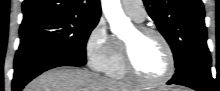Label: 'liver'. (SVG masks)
I'll return each mask as SVG.
<instances>
[{
	"instance_id": "6515ba94",
	"label": "liver",
	"mask_w": 220,
	"mask_h": 91,
	"mask_svg": "<svg viewBox=\"0 0 220 91\" xmlns=\"http://www.w3.org/2000/svg\"><path fill=\"white\" fill-rule=\"evenodd\" d=\"M24 91H137L129 84L104 78L86 69L57 67L32 80Z\"/></svg>"
}]
</instances>
